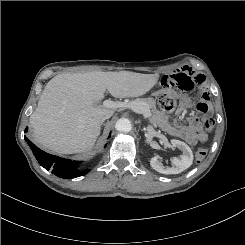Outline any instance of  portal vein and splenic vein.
I'll return each mask as SVG.
<instances>
[{"label":"portal vein and splenic vein","mask_w":245,"mask_h":245,"mask_svg":"<svg viewBox=\"0 0 245 245\" xmlns=\"http://www.w3.org/2000/svg\"><path fill=\"white\" fill-rule=\"evenodd\" d=\"M103 106L104 107H109V108H130L134 111H136L137 106L135 103H129V102H113L111 100H105L103 102ZM143 116L144 118H148L150 116V110L148 108H146L143 111Z\"/></svg>","instance_id":"obj_1"}]
</instances>
